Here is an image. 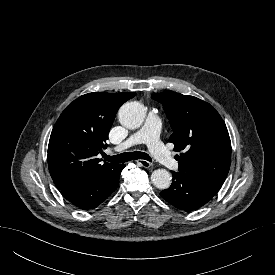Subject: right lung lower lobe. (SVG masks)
Masks as SVG:
<instances>
[{
  "label": "right lung lower lobe",
  "instance_id": "obj_1",
  "mask_svg": "<svg viewBox=\"0 0 275 275\" xmlns=\"http://www.w3.org/2000/svg\"><path fill=\"white\" fill-rule=\"evenodd\" d=\"M124 167V164H117L94 179L61 190V194L80 209L96 208L118 187L119 177Z\"/></svg>",
  "mask_w": 275,
  "mask_h": 275
}]
</instances>
